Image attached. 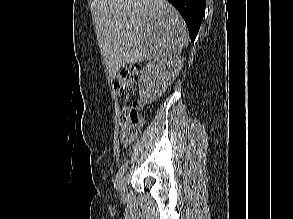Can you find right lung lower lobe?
<instances>
[{"label":"right lung lower lobe","instance_id":"right-lung-lower-lobe-1","mask_svg":"<svg viewBox=\"0 0 293 219\" xmlns=\"http://www.w3.org/2000/svg\"><path fill=\"white\" fill-rule=\"evenodd\" d=\"M184 18L191 41H194L205 11V0H168Z\"/></svg>","mask_w":293,"mask_h":219}]
</instances>
